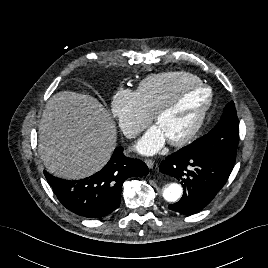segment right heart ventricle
<instances>
[{
    "mask_svg": "<svg viewBox=\"0 0 268 268\" xmlns=\"http://www.w3.org/2000/svg\"><path fill=\"white\" fill-rule=\"evenodd\" d=\"M198 82L200 79L189 72H160L144 78L137 91L148 111L154 115L181 86Z\"/></svg>",
    "mask_w": 268,
    "mask_h": 268,
    "instance_id": "e07e8e85",
    "label": "right heart ventricle"
}]
</instances>
